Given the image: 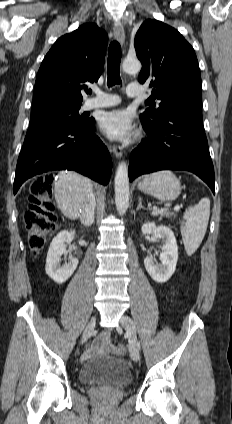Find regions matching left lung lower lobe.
Wrapping results in <instances>:
<instances>
[{"label": "left lung lower lobe", "mask_w": 232, "mask_h": 424, "mask_svg": "<svg viewBox=\"0 0 232 424\" xmlns=\"http://www.w3.org/2000/svg\"><path fill=\"white\" fill-rule=\"evenodd\" d=\"M148 136L132 151L129 180L159 170L193 172L215 193V177L208 142L204 132L202 110L178 108L164 114L154 125L140 117Z\"/></svg>", "instance_id": "0a47b994"}]
</instances>
